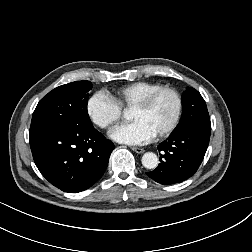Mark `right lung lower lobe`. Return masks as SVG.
<instances>
[{
	"label": "right lung lower lobe",
	"mask_w": 252,
	"mask_h": 252,
	"mask_svg": "<svg viewBox=\"0 0 252 252\" xmlns=\"http://www.w3.org/2000/svg\"><path fill=\"white\" fill-rule=\"evenodd\" d=\"M34 162L55 187L84 191L104 174L114 144L93 126H44L29 131Z\"/></svg>",
	"instance_id": "obj_1"
}]
</instances>
